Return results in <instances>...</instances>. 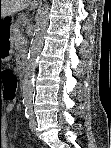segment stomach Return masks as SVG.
I'll return each mask as SVG.
<instances>
[{
    "label": "stomach",
    "instance_id": "0dacf381",
    "mask_svg": "<svg viewBox=\"0 0 111 148\" xmlns=\"http://www.w3.org/2000/svg\"><path fill=\"white\" fill-rule=\"evenodd\" d=\"M13 17H0V61L5 62L11 59L13 53Z\"/></svg>",
    "mask_w": 111,
    "mask_h": 148
}]
</instances>
